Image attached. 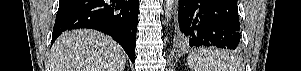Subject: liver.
I'll return each mask as SVG.
<instances>
[{
	"label": "liver",
	"mask_w": 301,
	"mask_h": 71,
	"mask_svg": "<svg viewBox=\"0 0 301 71\" xmlns=\"http://www.w3.org/2000/svg\"><path fill=\"white\" fill-rule=\"evenodd\" d=\"M127 55L103 33L80 29L62 34L50 54L51 71H123Z\"/></svg>",
	"instance_id": "liver-1"
}]
</instances>
